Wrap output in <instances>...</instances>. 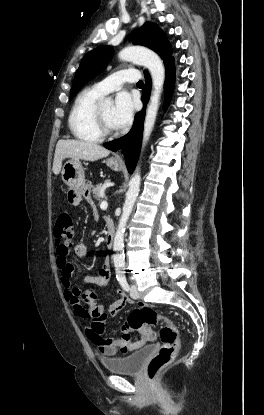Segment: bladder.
I'll list each match as a JSON object with an SVG mask.
<instances>
[{
	"mask_svg": "<svg viewBox=\"0 0 264 415\" xmlns=\"http://www.w3.org/2000/svg\"><path fill=\"white\" fill-rule=\"evenodd\" d=\"M155 351V345L149 344L127 356L103 358L102 364L108 372L119 374H139L147 358Z\"/></svg>",
	"mask_w": 264,
	"mask_h": 415,
	"instance_id": "bladder-1",
	"label": "bladder"
}]
</instances>
